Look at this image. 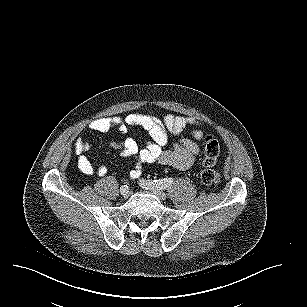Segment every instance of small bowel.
Here are the masks:
<instances>
[{
    "label": "small bowel",
    "mask_w": 307,
    "mask_h": 307,
    "mask_svg": "<svg viewBox=\"0 0 307 307\" xmlns=\"http://www.w3.org/2000/svg\"><path fill=\"white\" fill-rule=\"evenodd\" d=\"M201 122L189 116L165 115L162 119L139 113L129 114L126 117H104L92 120L88 127L96 132H108L117 129L125 133L128 127H141L151 137L143 148H139L137 142L132 138L122 141H111L110 146L118 150L124 159H132L134 168L129 172V178L136 180L141 175L142 167L149 163H160L169 165L179 170L190 168L200 153L199 141L203 132L199 128ZM187 127H194L192 138L179 139L171 149L164 147L168 143L169 135L178 136ZM89 142L82 137L77 138L74 149L78 155L80 170L86 175L104 176L107 173L105 165L94 166L86 152L89 150Z\"/></svg>",
    "instance_id": "1"
}]
</instances>
